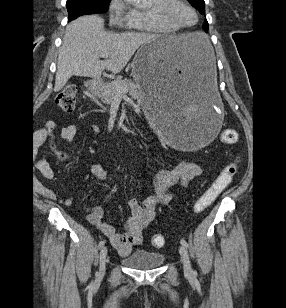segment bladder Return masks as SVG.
<instances>
[{
    "mask_svg": "<svg viewBox=\"0 0 286 308\" xmlns=\"http://www.w3.org/2000/svg\"><path fill=\"white\" fill-rule=\"evenodd\" d=\"M165 257L160 252L137 249L122 258L125 266L137 270L155 269L163 264Z\"/></svg>",
    "mask_w": 286,
    "mask_h": 308,
    "instance_id": "1",
    "label": "bladder"
}]
</instances>
